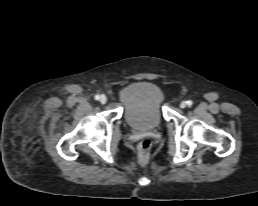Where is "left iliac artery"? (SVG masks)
<instances>
[{
  "mask_svg": "<svg viewBox=\"0 0 258 206\" xmlns=\"http://www.w3.org/2000/svg\"><path fill=\"white\" fill-rule=\"evenodd\" d=\"M188 106H191L193 102L191 100L187 101Z\"/></svg>",
  "mask_w": 258,
  "mask_h": 206,
  "instance_id": "left-iliac-artery-1",
  "label": "left iliac artery"
}]
</instances>
